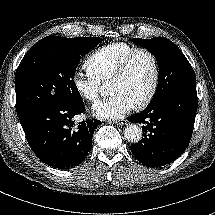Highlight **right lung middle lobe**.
Wrapping results in <instances>:
<instances>
[{
    "mask_svg": "<svg viewBox=\"0 0 215 215\" xmlns=\"http://www.w3.org/2000/svg\"><path fill=\"white\" fill-rule=\"evenodd\" d=\"M102 41L99 37L47 36L24 56L15 74L17 114L48 101L70 104L83 100L74 82L81 56Z\"/></svg>",
    "mask_w": 215,
    "mask_h": 215,
    "instance_id": "obj_1",
    "label": "right lung middle lobe"
}]
</instances>
